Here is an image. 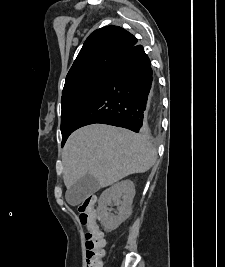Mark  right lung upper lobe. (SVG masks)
<instances>
[{
    "instance_id": "right-lung-upper-lobe-1",
    "label": "right lung upper lobe",
    "mask_w": 225,
    "mask_h": 267,
    "mask_svg": "<svg viewBox=\"0 0 225 267\" xmlns=\"http://www.w3.org/2000/svg\"><path fill=\"white\" fill-rule=\"evenodd\" d=\"M137 39L119 26L100 28L86 39L70 68L64 87L81 79L109 73L118 57L137 44Z\"/></svg>"
}]
</instances>
